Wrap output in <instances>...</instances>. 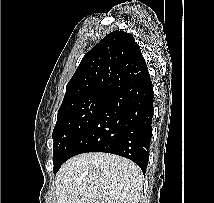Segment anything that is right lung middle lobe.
Listing matches in <instances>:
<instances>
[{"label":"right lung middle lobe","instance_id":"dd1d6c3e","mask_svg":"<svg viewBox=\"0 0 214 203\" xmlns=\"http://www.w3.org/2000/svg\"><path fill=\"white\" fill-rule=\"evenodd\" d=\"M110 96L92 93L60 106L52 134L54 173L67 160L72 146L93 122Z\"/></svg>","mask_w":214,"mask_h":203}]
</instances>
